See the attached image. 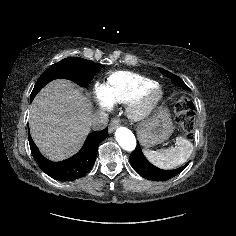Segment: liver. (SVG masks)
<instances>
[{"label":"liver","mask_w":236,"mask_h":236,"mask_svg":"<svg viewBox=\"0 0 236 236\" xmlns=\"http://www.w3.org/2000/svg\"><path fill=\"white\" fill-rule=\"evenodd\" d=\"M92 105L82 90L68 80L47 84L31 104V136L41 152L53 161L76 153L90 132Z\"/></svg>","instance_id":"liver-1"}]
</instances>
